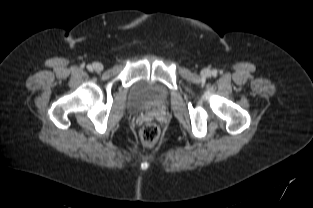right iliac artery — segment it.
<instances>
[{
	"instance_id": "obj_1",
	"label": "right iliac artery",
	"mask_w": 313,
	"mask_h": 208,
	"mask_svg": "<svg viewBox=\"0 0 313 208\" xmlns=\"http://www.w3.org/2000/svg\"><path fill=\"white\" fill-rule=\"evenodd\" d=\"M87 69H88V70H92V66H91V65H88V66H87Z\"/></svg>"
}]
</instances>
